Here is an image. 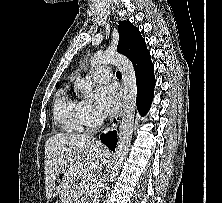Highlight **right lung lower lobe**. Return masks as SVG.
Instances as JSON below:
<instances>
[{
    "label": "right lung lower lobe",
    "instance_id": "right-lung-lower-lobe-1",
    "mask_svg": "<svg viewBox=\"0 0 222 203\" xmlns=\"http://www.w3.org/2000/svg\"><path fill=\"white\" fill-rule=\"evenodd\" d=\"M116 135H117L116 131H112V132H109L106 135L102 134L100 136V139H101L102 142H104V144L106 146L109 147L110 150L114 151V149L116 147V143H117Z\"/></svg>",
    "mask_w": 222,
    "mask_h": 203
}]
</instances>
